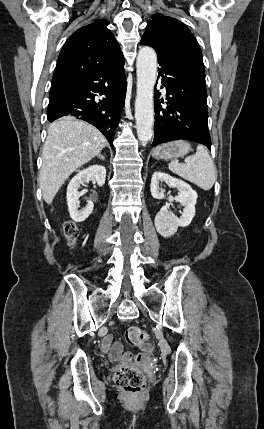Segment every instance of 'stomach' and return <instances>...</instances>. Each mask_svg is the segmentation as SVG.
Segmentation results:
<instances>
[{"label": "stomach", "instance_id": "stomach-1", "mask_svg": "<svg viewBox=\"0 0 264 429\" xmlns=\"http://www.w3.org/2000/svg\"><path fill=\"white\" fill-rule=\"evenodd\" d=\"M190 150L189 142L175 140L157 146L153 151V156L157 159H176L185 156Z\"/></svg>", "mask_w": 264, "mask_h": 429}]
</instances>
